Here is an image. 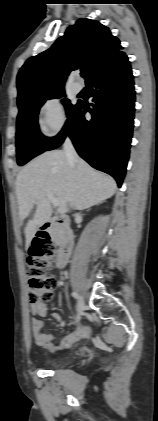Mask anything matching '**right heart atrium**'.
I'll return each instance as SVG.
<instances>
[{"label": "right heart atrium", "instance_id": "obj_1", "mask_svg": "<svg viewBox=\"0 0 158 421\" xmlns=\"http://www.w3.org/2000/svg\"><path fill=\"white\" fill-rule=\"evenodd\" d=\"M37 122L43 135L53 137L59 134L66 124V113L60 99H45L38 109Z\"/></svg>", "mask_w": 158, "mask_h": 421}]
</instances>
